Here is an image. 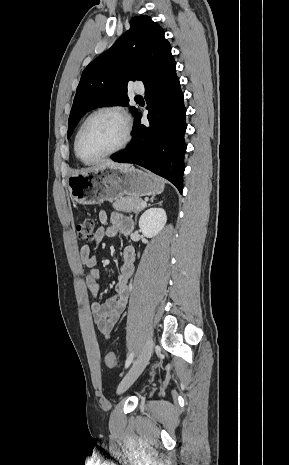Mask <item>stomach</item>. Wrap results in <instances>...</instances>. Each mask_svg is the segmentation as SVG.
<instances>
[{"instance_id": "stomach-1", "label": "stomach", "mask_w": 289, "mask_h": 465, "mask_svg": "<svg viewBox=\"0 0 289 465\" xmlns=\"http://www.w3.org/2000/svg\"><path fill=\"white\" fill-rule=\"evenodd\" d=\"M67 185L72 199L81 205L114 201L123 195H157L164 189L159 177L132 166L102 167L76 173L68 178Z\"/></svg>"}]
</instances>
